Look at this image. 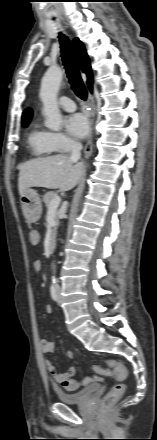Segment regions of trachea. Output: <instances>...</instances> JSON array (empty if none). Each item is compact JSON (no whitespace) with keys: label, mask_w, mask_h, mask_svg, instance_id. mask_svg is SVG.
Wrapping results in <instances>:
<instances>
[{"label":"trachea","mask_w":157,"mask_h":440,"mask_svg":"<svg viewBox=\"0 0 157 440\" xmlns=\"http://www.w3.org/2000/svg\"><path fill=\"white\" fill-rule=\"evenodd\" d=\"M59 40L63 65L66 69L71 88L80 99L85 100L87 98V90L80 75L72 44L63 34L59 35Z\"/></svg>","instance_id":"3493384b"}]
</instances>
